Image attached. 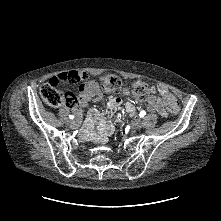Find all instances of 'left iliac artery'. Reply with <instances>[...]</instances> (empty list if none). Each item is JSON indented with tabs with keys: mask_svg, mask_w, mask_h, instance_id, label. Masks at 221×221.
Masks as SVG:
<instances>
[{
	"mask_svg": "<svg viewBox=\"0 0 221 221\" xmlns=\"http://www.w3.org/2000/svg\"><path fill=\"white\" fill-rule=\"evenodd\" d=\"M144 115H146L145 111H141L140 114H139L140 117H144Z\"/></svg>",
	"mask_w": 221,
	"mask_h": 221,
	"instance_id": "obj_1",
	"label": "left iliac artery"
}]
</instances>
